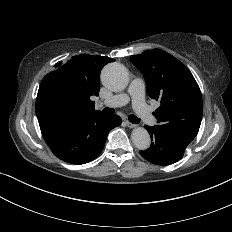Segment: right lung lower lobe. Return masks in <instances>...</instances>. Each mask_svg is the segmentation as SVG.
Wrapping results in <instances>:
<instances>
[{
    "label": "right lung lower lobe",
    "instance_id": "right-lung-lower-lobe-1",
    "mask_svg": "<svg viewBox=\"0 0 232 232\" xmlns=\"http://www.w3.org/2000/svg\"><path fill=\"white\" fill-rule=\"evenodd\" d=\"M52 152L71 164H85L102 151L108 133L121 124L118 115H57L38 119Z\"/></svg>",
    "mask_w": 232,
    "mask_h": 232
}]
</instances>
